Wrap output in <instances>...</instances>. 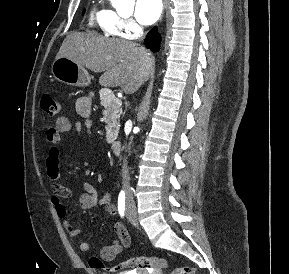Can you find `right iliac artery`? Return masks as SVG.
<instances>
[{
    "label": "right iliac artery",
    "mask_w": 289,
    "mask_h": 274,
    "mask_svg": "<svg viewBox=\"0 0 289 274\" xmlns=\"http://www.w3.org/2000/svg\"><path fill=\"white\" fill-rule=\"evenodd\" d=\"M118 212L121 217L124 216L125 212V193L121 191L118 197Z\"/></svg>",
    "instance_id": "82829eb1"
}]
</instances>
